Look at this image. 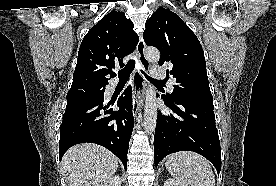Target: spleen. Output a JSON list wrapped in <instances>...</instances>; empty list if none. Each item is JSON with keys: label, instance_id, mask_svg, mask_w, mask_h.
<instances>
[{"label": "spleen", "instance_id": "3e777b00", "mask_svg": "<svg viewBox=\"0 0 276 186\" xmlns=\"http://www.w3.org/2000/svg\"><path fill=\"white\" fill-rule=\"evenodd\" d=\"M168 172L187 186H215V176L209 161L197 153L182 151L168 155Z\"/></svg>", "mask_w": 276, "mask_h": 186}]
</instances>
